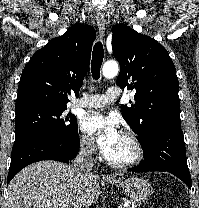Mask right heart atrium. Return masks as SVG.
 <instances>
[{
  "label": "right heart atrium",
  "mask_w": 199,
  "mask_h": 208,
  "mask_svg": "<svg viewBox=\"0 0 199 208\" xmlns=\"http://www.w3.org/2000/svg\"><path fill=\"white\" fill-rule=\"evenodd\" d=\"M79 147L86 156H93L96 153V146L88 136H81L79 138Z\"/></svg>",
  "instance_id": "d8ad5b80"
}]
</instances>
